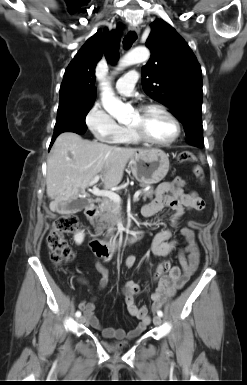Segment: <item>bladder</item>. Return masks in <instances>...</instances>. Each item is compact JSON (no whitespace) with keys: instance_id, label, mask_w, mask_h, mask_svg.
Wrapping results in <instances>:
<instances>
[{"instance_id":"31cf9c89","label":"bladder","mask_w":247,"mask_h":385,"mask_svg":"<svg viewBox=\"0 0 247 385\" xmlns=\"http://www.w3.org/2000/svg\"><path fill=\"white\" fill-rule=\"evenodd\" d=\"M111 346H115V344H111Z\"/></svg>"}]
</instances>
